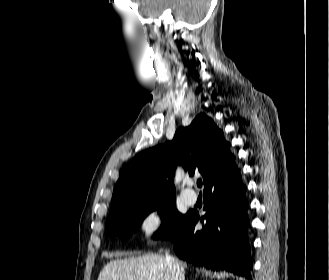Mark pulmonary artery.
<instances>
[{"label": "pulmonary artery", "instance_id": "e3ab8cb5", "mask_svg": "<svg viewBox=\"0 0 329 280\" xmlns=\"http://www.w3.org/2000/svg\"><path fill=\"white\" fill-rule=\"evenodd\" d=\"M182 196L188 205H193L197 201V194L190 187L183 190Z\"/></svg>", "mask_w": 329, "mask_h": 280}]
</instances>
